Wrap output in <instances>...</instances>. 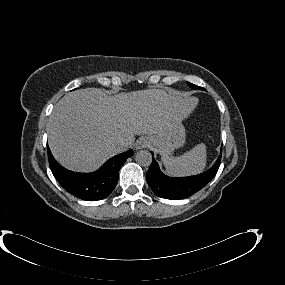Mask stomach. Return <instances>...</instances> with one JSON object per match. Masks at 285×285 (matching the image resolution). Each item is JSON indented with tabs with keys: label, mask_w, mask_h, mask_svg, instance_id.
Returning <instances> with one entry per match:
<instances>
[{
	"label": "stomach",
	"mask_w": 285,
	"mask_h": 285,
	"mask_svg": "<svg viewBox=\"0 0 285 285\" xmlns=\"http://www.w3.org/2000/svg\"><path fill=\"white\" fill-rule=\"evenodd\" d=\"M152 144L161 155H168L185 143L186 133L182 120L173 123L164 132L151 136Z\"/></svg>",
	"instance_id": "0dacf381"
}]
</instances>
